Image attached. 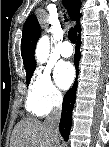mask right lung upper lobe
Here are the masks:
<instances>
[{"mask_svg": "<svg viewBox=\"0 0 109 147\" xmlns=\"http://www.w3.org/2000/svg\"><path fill=\"white\" fill-rule=\"evenodd\" d=\"M64 4L68 10L70 18L77 22V25L75 27L79 31L81 29L79 24V20L81 17V14L79 12V8L81 7V1L65 0ZM39 37L40 27L38 20L35 15H30L24 24L23 36L21 40V54L26 73L35 69L36 67L34 52Z\"/></svg>", "mask_w": 109, "mask_h": 147, "instance_id": "1", "label": "right lung upper lobe"}]
</instances>
